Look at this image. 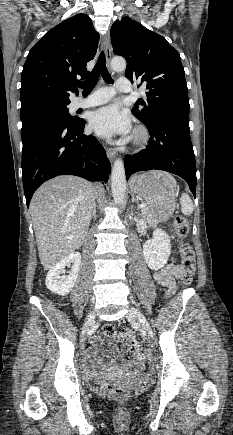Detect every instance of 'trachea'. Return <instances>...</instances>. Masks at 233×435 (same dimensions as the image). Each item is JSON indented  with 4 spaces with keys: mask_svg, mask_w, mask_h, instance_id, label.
Listing matches in <instances>:
<instances>
[{
    "mask_svg": "<svg viewBox=\"0 0 233 435\" xmlns=\"http://www.w3.org/2000/svg\"><path fill=\"white\" fill-rule=\"evenodd\" d=\"M100 75L102 76L103 80L109 84H113L114 81L109 74L107 67H106V60H105V54L104 52H101L98 61L95 65V67L92 70V73L90 77L82 82L76 83V85L79 88L83 89V94L88 95L93 90L94 86L96 85L97 81L99 80Z\"/></svg>",
    "mask_w": 233,
    "mask_h": 435,
    "instance_id": "1",
    "label": "trachea"
}]
</instances>
